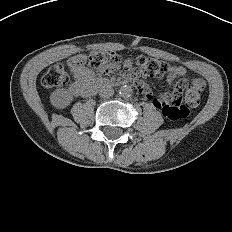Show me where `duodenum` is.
<instances>
[{
    "mask_svg": "<svg viewBox=\"0 0 232 232\" xmlns=\"http://www.w3.org/2000/svg\"><path fill=\"white\" fill-rule=\"evenodd\" d=\"M130 80H123L120 82H114L105 78H98L92 81L87 87V96L93 95L98 89L106 88V87H115V86H123L128 84Z\"/></svg>",
    "mask_w": 232,
    "mask_h": 232,
    "instance_id": "duodenum-1",
    "label": "duodenum"
}]
</instances>
